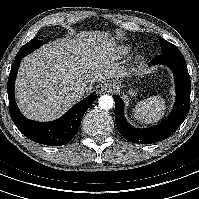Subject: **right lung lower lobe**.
<instances>
[{
	"label": "right lung lower lobe",
	"instance_id": "right-lung-lower-lobe-1",
	"mask_svg": "<svg viewBox=\"0 0 199 199\" xmlns=\"http://www.w3.org/2000/svg\"><path fill=\"white\" fill-rule=\"evenodd\" d=\"M24 56L26 54L16 55L8 78L7 91L11 119L17 128L34 142L51 146L65 145L76 135L86 110L97 99V95L92 93L55 121L36 122L27 119L19 111L14 98L15 79L21 59Z\"/></svg>",
	"mask_w": 199,
	"mask_h": 199
}]
</instances>
